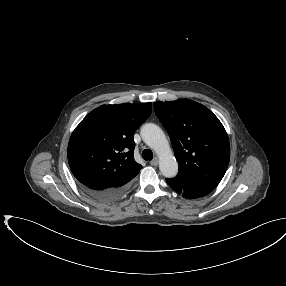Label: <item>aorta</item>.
Here are the masks:
<instances>
[{
    "instance_id": "762f6f07",
    "label": "aorta",
    "mask_w": 286,
    "mask_h": 286,
    "mask_svg": "<svg viewBox=\"0 0 286 286\" xmlns=\"http://www.w3.org/2000/svg\"><path fill=\"white\" fill-rule=\"evenodd\" d=\"M141 136L143 141L158 155L162 175L166 178L175 177L178 173V163L163 130L155 124L147 123L141 128Z\"/></svg>"
}]
</instances>
